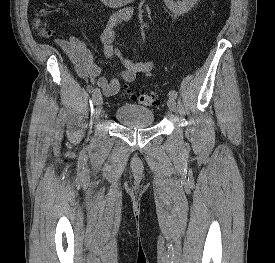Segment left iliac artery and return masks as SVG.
Instances as JSON below:
<instances>
[{
	"mask_svg": "<svg viewBox=\"0 0 275 263\" xmlns=\"http://www.w3.org/2000/svg\"><path fill=\"white\" fill-rule=\"evenodd\" d=\"M168 95H169V98L176 99L178 94L175 90H171Z\"/></svg>",
	"mask_w": 275,
	"mask_h": 263,
	"instance_id": "44dca946",
	"label": "left iliac artery"
}]
</instances>
